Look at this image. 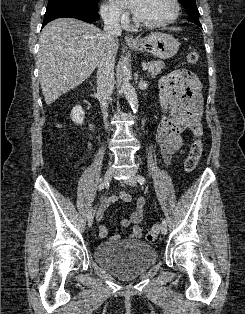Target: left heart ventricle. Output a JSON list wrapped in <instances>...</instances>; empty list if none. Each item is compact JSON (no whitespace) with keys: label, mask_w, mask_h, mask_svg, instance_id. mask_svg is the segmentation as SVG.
I'll return each mask as SVG.
<instances>
[{"label":"left heart ventricle","mask_w":245,"mask_h":314,"mask_svg":"<svg viewBox=\"0 0 245 314\" xmlns=\"http://www.w3.org/2000/svg\"><path fill=\"white\" fill-rule=\"evenodd\" d=\"M173 12L171 0H142L136 16L145 22L161 21Z\"/></svg>","instance_id":"1"}]
</instances>
